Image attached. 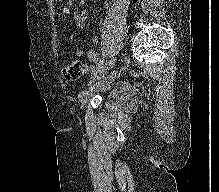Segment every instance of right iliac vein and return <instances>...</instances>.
<instances>
[{
	"label": "right iliac vein",
	"instance_id": "63e3f726",
	"mask_svg": "<svg viewBox=\"0 0 219 192\" xmlns=\"http://www.w3.org/2000/svg\"><path fill=\"white\" fill-rule=\"evenodd\" d=\"M116 59L113 58L106 62L101 68H99L93 75L92 80L90 82V86H92L96 81L102 79L110 69H112ZM90 97V91H82L79 95V101L82 105H85Z\"/></svg>",
	"mask_w": 219,
	"mask_h": 192
}]
</instances>
